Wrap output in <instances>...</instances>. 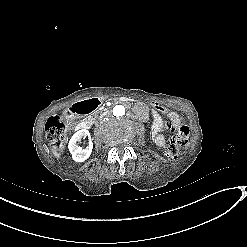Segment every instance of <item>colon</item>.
<instances>
[{
	"instance_id": "obj_1",
	"label": "colon",
	"mask_w": 247,
	"mask_h": 247,
	"mask_svg": "<svg viewBox=\"0 0 247 247\" xmlns=\"http://www.w3.org/2000/svg\"><path fill=\"white\" fill-rule=\"evenodd\" d=\"M144 106L148 110H155L157 113H165L167 107L158 100L148 99L145 101ZM46 134L48 140L57 152L61 156L64 152V140L67 132V125L61 121L58 116H52L48 119L45 125ZM189 130L187 127H180L178 134L173 137L167 145L166 155L169 159H176L180 151L188 144Z\"/></svg>"
}]
</instances>
